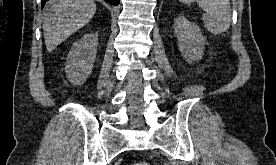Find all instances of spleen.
<instances>
[{
	"instance_id": "3e777b00",
	"label": "spleen",
	"mask_w": 276,
	"mask_h": 165,
	"mask_svg": "<svg viewBox=\"0 0 276 165\" xmlns=\"http://www.w3.org/2000/svg\"><path fill=\"white\" fill-rule=\"evenodd\" d=\"M182 3L196 1L205 11L203 21L205 28L214 35L226 32L231 24L229 0H179Z\"/></svg>"
}]
</instances>
